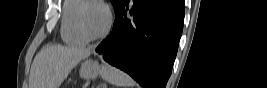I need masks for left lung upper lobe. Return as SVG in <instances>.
I'll return each mask as SVG.
<instances>
[{"instance_id": "1", "label": "left lung upper lobe", "mask_w": 267, "mask_h": 88, "mask_svg": "<svg viewBox=\"0 0 267 88\" xmlns=\"http://www.w3.org/2000/svg\"><path fill=\"white\" fill-rule=\"evenodd\" d=\"M113 7H114V11L115 13L119 10V8L123 5V3L125 2V0H110Z\"/></svg>"}]
</instances>
